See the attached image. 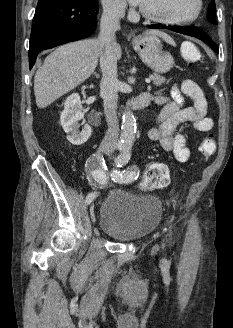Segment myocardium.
<instances>
[{
    "mask_svg": "<svg viewBox=\"0 0 233 328\" xmlns=\"http://www.w3.org/2000/svg\"><path fill=\"white\" fill-rule=\"evenodd\" d=\"M203 10V0H195V10L193 14L184 19H167L148 13L140 6V14L147 20L163 25H188L194 23L200 17Z\"/></svg>",
    "mask_w": 233,
    "mask_h": 328,
    "instance_id": "obj_1",
    "label": "myocardium"
}]
</instances>
